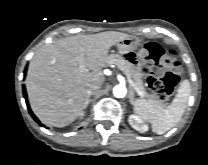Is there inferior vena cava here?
<instances>
[{
    "label": "inferior vena cava",
    "instance_id": "1",
    "mask_svg": "<svg viewBox=\"0 0 208 165\" xmlns=\"http://www.w3.org/2000/svg\"><path fill=\"white\" fill-rule=\"evenodd\" d=\"M101 88V83H94L89 86L88 93L92 94Z\"/></svg>",
    "mask_w": 208,
    "mask_h": 165
}]
</instances>
